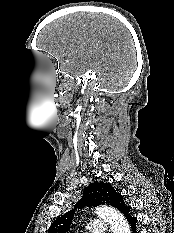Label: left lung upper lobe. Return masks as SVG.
Returning a JSON list of instances; mask_svg holds the SVG:
<instances>
[{"label":"left lung upper lobe","mask_w":174,"mask_h":233,"mask_svg":"<svg viewBox=\"0 0 174 233\" xmlns=\"http://www.w3.org/2000/svg\"><path fill=\"white\" fill-rule=\"evenodd\" d=\"M106 204L117 208L125 216L129 213L131 207L123 201V196L117 193L114 188L107 183H90L84 188L82 199L75 205L73 210L58 217L50 226L48 233H67L72 224L75 209L84 208L85 206H97Z\"/></svg>","instance_id":"left-lung-upper-lobe-1"}]
</instances>
